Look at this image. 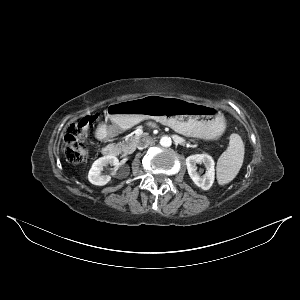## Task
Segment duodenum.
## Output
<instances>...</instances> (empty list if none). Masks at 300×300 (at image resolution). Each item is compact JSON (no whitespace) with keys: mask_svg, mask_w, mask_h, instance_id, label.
I'll return each mask as SVG.
<instances>
[{"mask_svg":"<svg viewBox=\"0 0 300 300\" xmlns=\"http://www.w3.org/2000/svg\"><path fill=\"white\" fill-rule=\"evenodd\" d=\"M109 136V130L106 127H102L97 131V138L102 140ZM105 156H115L117 154V149L113 145L104 146L102 150Z\"/></svg>","mask_w":300,"mask_h":300,"instance_id":"duodenum-1","label":"duodenum"}]
</instances>
